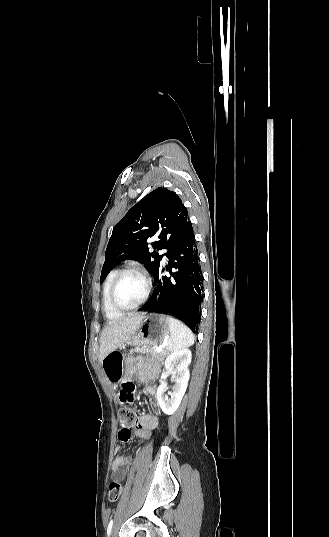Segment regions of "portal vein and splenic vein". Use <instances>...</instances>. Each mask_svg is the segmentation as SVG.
<instances>
[{
	"label": "portal vein and splenic vein",
	"instance_id": "portal-vein-and-splenic-vein-1",
	"mask_svg": "<svg viewBox=\"0 0 329 537\" xmlns=\"http://www.w3.org/2000/svg\"><path fill=\"white\" fill-rule=\"evenodd\" d=\"M162 349H163V347H162V346H156V347H155V350H156L157 352H161V351H162Z\"/></svg>",
	"mask_w": 329,
	"mask_h": 537
}]
</instances>
